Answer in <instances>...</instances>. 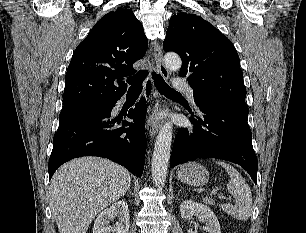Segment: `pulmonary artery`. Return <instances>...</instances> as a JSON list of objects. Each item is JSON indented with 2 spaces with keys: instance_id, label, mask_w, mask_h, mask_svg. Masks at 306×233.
<instances>
[{
  "instance_id": "pulmonary-artery-1",
  "label": "pulmonary artery",
  "mask_w": 306,
  "mask_h": 233,
  "mask_svg": "<svg viewBox=\"0 0 306 233\" xmlns=\"http://www.w3.org/2000/svg\"><path fill=\"white\" fill-rule=\"evenodd\" d=\"M174 88L178 91L186 93L193 100L194 90L185 82V80L176 79L174 81Z\"/></svg>"
}]
</instances>
